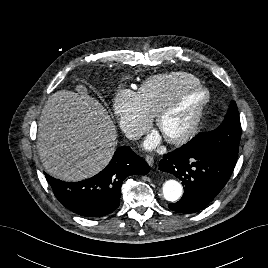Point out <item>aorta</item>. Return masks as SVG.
I'll return each instance as SVG.
<instances>
[{
	"label": "aorta",
	"instance_id": "762f6f07",
	"mask_svg": "<svg viewBox=\"0 0 268 268\" xmlns=\"http://www.w3.org/2000/svg\"><path fill=\"white\" fill-rule=\"evenodd\" d=\"M163 196L167 201H177L183 192L182 185L173 179L166 180L162 187Z\"/></svg>",
	"mask_w": 268,
	"mask_h": 268
}]
</instances>
